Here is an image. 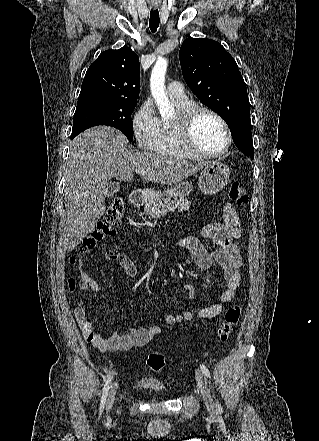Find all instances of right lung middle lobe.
I'll return each instance as SVG.
<instances>
[{
	"mask_svg": "<svg viewBox=\"0 0 319 441\" xmlns=\"http://www.w3.org/2000/svg\"><path fill=\"white\" fill-rule=\"evenodd\" d=\"M135 106L136 102L121 100H78L73 119L71 139L90 127L107 125L119 129L127 136L129 141H132L133 125L131 114Z\"/></svg>",
	"mask_w": 319,
	"mask_h": 441,
	"instance_id": "right-lung-middle-lobe-1",
	"label": "right lung middle lobe"
}]
</instances>
